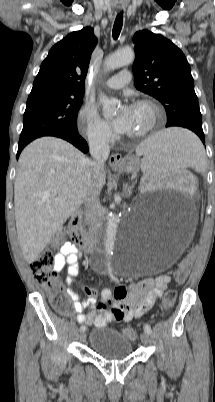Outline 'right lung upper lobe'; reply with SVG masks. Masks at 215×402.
Instances as JSON below:
<instances>
[{
	"label": "right lung upper lobe",
	"mask_w": 215,
	"mask_h": 402,
	"mask_svg": "<svg viewBox=\"0 0 215 402\" xmlns=\"http://www.w3.org/2000/svg\"><path fill=\"white\" fill-rule=\"evenodd\" d=\"M96 43L93 28L85 27L68 34L55 44L40 66L30 95H83L84 80Z\"/></svg>",
	"instance_id": "right-lung-upper-lobe-1"
}]
</instances>
